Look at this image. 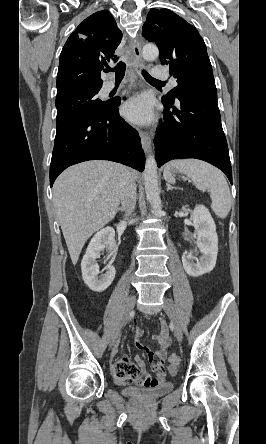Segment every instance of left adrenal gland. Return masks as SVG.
<instances>
[{"mask_svg": "<svg viewBox=\"0 0 266 444\" xmlns=\"http://www.w3.org/2000/svg\"><path fill=\"white\" fill-rule=\"evenodd\" d=\"M166 186H167V191H169V190H173V189H179V188H177V187H173V186H171L169 183H166Z\"/></svg>", "mask_w": 266, "mask_h": 444, "instance_id": "1", "label": "left adrenal gland"}]
</instances>
